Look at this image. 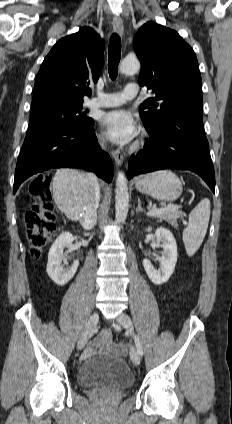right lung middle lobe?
Wrapping results in <instances>:
<instances>
[{
  "label": "right lung middle lobe",
  "mask_w": 232,
  "mask_h": 424,
  "mask_svg": "<svg viewBox=\"0 0 232 424\" xmlns=\"http://www.w3.org/2000/svg\"><path fill=\"white\" fill-rule=\"evenodd\" d=\"M82 105L60 103L45 104L32 108L29 127L58 126L83 129L93 125V119L81 113Z\"/></svg>",
  "instance_id": "obj_1"
}]
</instances>
